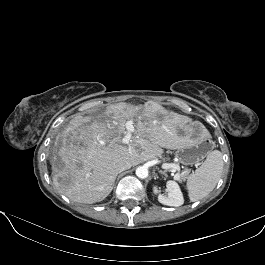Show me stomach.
<instances>
[{
	"instance_id": "1",
	"label": "stomach",
	"mask_w": 265,
	"mask_h": 265,
	"mask_svg": "<svg viewBox=\"0 0 265 265\" xmlns=\"http://www.w3.org/2000/svg\"><path fill=\"white\" fill-rule=\"evenodd\" d=\"M212 142L202 135L192 138L189 142L176 152V157L184 165H193L201 161L211 150Z\"/></svg>"
}]
</instances>
